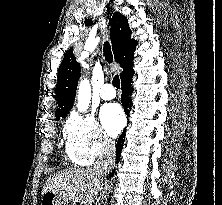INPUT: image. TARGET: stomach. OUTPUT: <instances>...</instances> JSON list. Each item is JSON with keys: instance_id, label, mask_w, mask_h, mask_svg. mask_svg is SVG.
<instances>
[{"instance_id": "stomach-1", "label": "stomach", "mask_w": 222, "mask_h": 205, "mask_svg": "<svg viewBox=\"0 0 222 205\" xmlns=\"http://www.w3.org/2000/svg\"><path fill=\"white\" fill-rule=\"evenodd\" d=\"M41 205H67V203L55 192L48 191L43 193Z\"/></svg>"}]
</instances>
